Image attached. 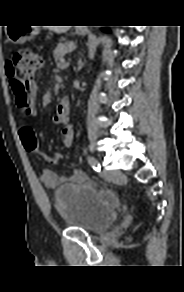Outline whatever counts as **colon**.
Returning a JSON list of instances; mask_svg holds the SVG:
<instances>
[{"label": "colon", "mask_w": 184, "mask_h": 292, "mask_svg": "<svg viewBox=\"0 0 184 292\" xmlns=\"http://www.w3.org/2000/svg\"><path fill=\"white\" fill-rule=\"evenodd\" d=\"M42 64V56L28 49L16 51L7 62L6 72L10 85L18 96L21 114L28 120L36 116L38 112L37 90L32 87L31 83ZM20 139L28 153L47 162L57 163L62 158L61 154L52 153L38 144L31 126H25L21 129Z\"/></svg>", "instance_id": "5ec220e1"}]
</instances>
